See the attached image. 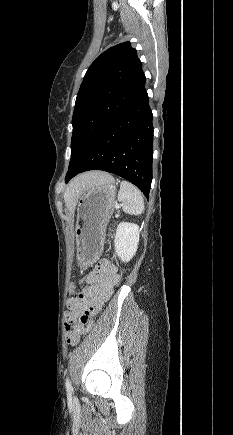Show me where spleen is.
<instances>
[{
  "label": "spleen",
  "instance_id": "3e777b00",
  "mask_svg": "<svg viewBox=\"0 0 233 435\" xmlns=\"http://www.w3.org/2000/svg\"><path fill=\"white\" fill-rule=\"evenodd\" d=\"M118 200L123 203L124 212L139 215L144 211V199L141 191L128 181L120 183Z\"/></svg>",
  "mask_w": 233,
  "mask_h": 435
}]
</instances>
